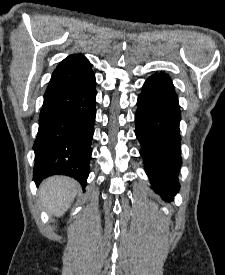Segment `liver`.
Returning <instances> with one entry per match:
<instances>
[{"mask_svg": "<svg viewBox=\"0 0 225 275\" xmlns=\"http://www.w3.org/2000/svg\"><path fill=\"white\" fill-rule=\"evenodd\" d=\"M78 187V183L69 177H49L39 188L40 201L51 215L62 216L74 200Z\"/></svg>", "mask_w": 225, "mask_h": 275, "instance_id": "liver-1", "label": "liver"}]
</instances>
